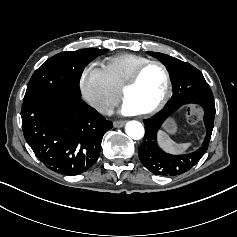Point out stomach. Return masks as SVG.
I'll list each match as a JSON object with an SVG mask.
<instances>
[{"label": "stomach", "mask_w": 237, "mask_h": 237, "mask_svg": "<svg viewBox=\"0 0 237 237\" xmlns=\"http://www.w3.org/2000/svg\"><path fill=\"white\" fill-rule=\"evenodd\" d=\"M165 127L170 132H173L175 130V126H174V123L172 121L168 122Z\"/></svg>", "instance_id": "obj_1"}]
</instances>
